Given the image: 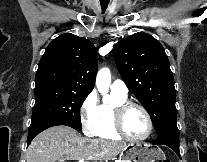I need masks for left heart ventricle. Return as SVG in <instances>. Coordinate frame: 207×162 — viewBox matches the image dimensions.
Wrapping results in <instances>:
<instances>
[{
  "label": "left heart ventricle",
  "instance_id": "1",
  "mask_svg": "<svg viewBox=\"0 0 207 162\" xmlns=\"http://www.w3.org/2000/svg\"><path fill=\"white\" fill-rule=\"evenodd\" d=\"M124 129L132 137L143 136L148 129L144 113L138 108L130 109L124 118Z\"/></svg>",
  "mask_w": 207,
  "mask_h": 162
}]
</instances>
